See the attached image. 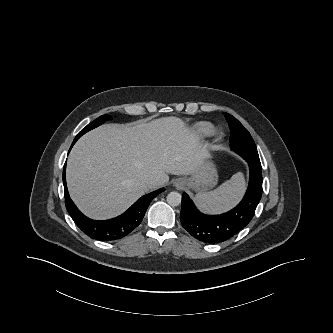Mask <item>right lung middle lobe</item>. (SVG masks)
Returning <instances> with one entry per match:
<instances>
[{
  "label": "right lung middle lobe",
  "instance_id": "dd1d6c3e",
  "mask_svg": "<svg viewBox=\"0 0 333 333\" xmlns=\"http://www.w3.org/2000/svg\"><path fill=\"white\" fill-rule=\"evenodd\" d=\"M110 119H111V117L109 115H102V116L98 117L96 120H94L93 122L88 124L85 128H83L75 138L79 139L86 132L98 127L99 125H101L102 123H104L105 121L110 120Z\"/></svg>",
  "mask_w": 333,
  "mask_h": 333
}]
</instances>
